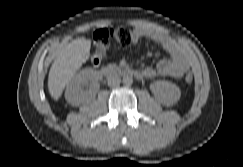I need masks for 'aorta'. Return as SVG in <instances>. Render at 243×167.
<instances>
[{"label":"aorta","instance_id":"762f6f07","mask_svg":"<svg viewBox=\"0 0 243 167\" xmlns=\"http://www.w3.org/2000/svg\"><path fill=\"white\" fill-rule=\"evenodd\" d=\"M122 82H123L124 85L130 86L133 83V78H132L131 75H128V74L124 75Z\"/></svg>","mask_w":243,"mask_h":167}]
</instances>
